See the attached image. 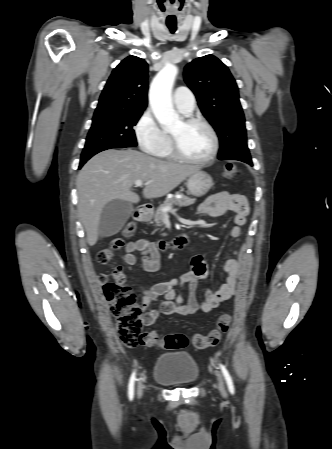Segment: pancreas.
<instances>
[{"label":"pancreas","instance_id":"cf45deb5","mask_svg":"<svg viewBox=\"0 0 332 449\" xmlns=\"http://www.w3.org/2000/svg\"><path fill=\"white\" fill-rule=\"evenodd\" d=\"M195 202V199L189 198L187 196L182 195L181 198H166L164 203L157 209V211L153 214V219L156 225L160 226L163 221L164 217L167 215V212H163V208L165 207H171L172 205H177L179 207H186L189 205H192ZM166 234H163L165 236Z\"/></svg>","mask_w":332,"mask_h":449}]
</instances>
